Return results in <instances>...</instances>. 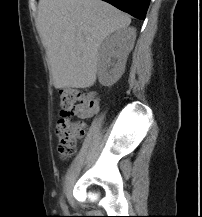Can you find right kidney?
I'll return each mask as SVG.
<instances>
[{"label":"right kidney","instance_id":"obj_1","mask_svg":"<svg viewBox=\"0 0 202 217\" xmlns=\"http://www.w3.org/2000/svg\"><path fill=\"white\" fill-rule=\"evenodd\" d=\"M135 39L136 29L128 27L117 30L104 40L97 63L98 79L103 86H112L121 78Z\"/></svg>","mask_w":202,"mask_h":217}]
</instances>
